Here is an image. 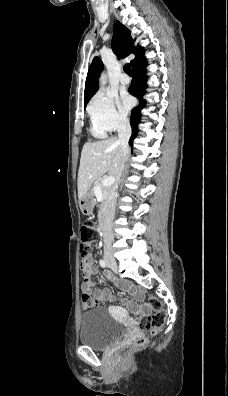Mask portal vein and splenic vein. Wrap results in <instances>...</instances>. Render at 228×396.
<instances>
[{
	"mask_svg": "<svg viewBox=\"0 0 228 396\" xmlns=\"http://www.w3.org/2000/svg\"><path fill=\"white\" fill-rule=\"evenodd\" d=\"M114 182H115V178L113 176H108L103 179L102 185L103 186H111L112 184H114Z\"/></svg>",
	"mask_w": 228,
	"mask_h": 396,
	"instance_id": "1",
	"label": "portal vein and splenic vein"
}]
</instances>
